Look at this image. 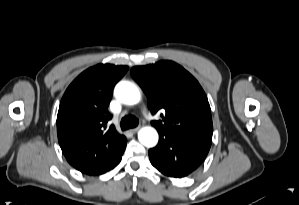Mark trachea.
Masks as SVG:
<instances>
[{
	"instance_id": "obj_1",
	"label": "trachea",
	"mask_w": 299,
	"mask_h": 205,
	"mask_svg": "<svg viewBox=\"0 0 299 205\" xmlns=\"http://www.w3.org/2000/svg\"><path fill=\"white\" fill-rule=\"evenodd\" d=\"M138 125V119L133 115H127L121 119L120 126L122 130L134 128Z\"/></svg>"
}]
</instances>
